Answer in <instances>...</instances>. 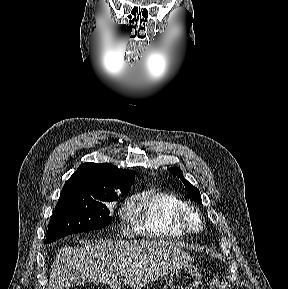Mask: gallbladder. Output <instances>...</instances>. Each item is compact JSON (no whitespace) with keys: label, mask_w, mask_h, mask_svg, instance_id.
I'll use <instances>...</instances> for the list:
<instances>
[{"label":"gallbladder","mask_w":288,"mask_h":289,"mask_svg":"<svg viewBox=\"0 0 288 289\" xmlns=\"http://www.w3.org/2000/svg\"><path fill=\"white\" fill-rule=\"evenodd\" d=\"M70 282L75 285H83L85 283V279L77 272H71Z\"/></svg>","instance_id":"bac80fb5"}]
</instances>
